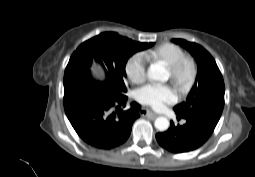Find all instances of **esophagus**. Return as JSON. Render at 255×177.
<instances>
[{
    "label": "esophagus",
    "instance_id": "esophagus-1",
    "mask_svg": "<svg viewBox=\"0 0 255 177\" xmlns=\"http://www.w3.org/2000/svg\"><path fill=\"white\" fill-rule=\"evenodd\" d=\"M140 115L142 116H151V117H157L158 114L149 110V109H146V108H141L140 109Z\"/></svg>",
    "mask_w": 255,
    "mask_h": 177
}]
</instances>
